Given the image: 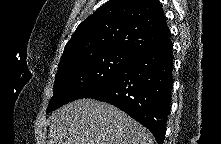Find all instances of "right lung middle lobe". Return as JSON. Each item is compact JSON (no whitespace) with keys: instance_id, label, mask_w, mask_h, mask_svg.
Segmentation results:
<instances>
[{"instance_id":"obj_1","label":"right lung middle lobe","mask_w":221,"mask_h":144,"mask_svg":"<svg viewBox=\"0 0 221 144\" xmlns=\"http://www.w3.org/2000/svg\"><path fill=\"white\" fill-rule=\"evenodd\" d=\"M136 56L121 50H110L59 66L47 113L82 98L92 89L107 82Z\"/></svg>"}]
</instances>
